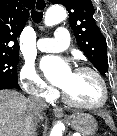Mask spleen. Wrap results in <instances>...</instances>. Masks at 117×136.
<instances>
[{"label":"spleen","instance_id":"3e777b00","mask_svg":"<svg viewBox=\"0 0 117 136\" xmlns=\"http://www.w3.org/2000/svg\"><path fill=\"white\" fill-rule=\"evenodd\" d=\"M104 119H105L106 123H107L112 129H115L114 122H113V120H112L111 117H109V116H104Z\"/></svg>","mask_w":117,"mask_h":136}]
</instances>
